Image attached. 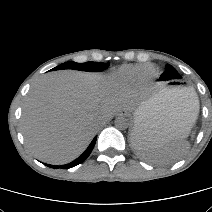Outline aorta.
Masks as SVG:
<instances>
[{"instance_id": "1", "label": "aorta", "mask_w": 212, "mask_h": 212, "mask_svg": "<svg viewBox=\"0 0 212 212\" xmlns=\"http://www.w3.org/2000/svg\"><path fill=\"white\" fill-rule=\"evenodd\" d=\"M115 127L119 130H124L128 127L129 123H128V120L123 117V116H118L116 119H115Z\"/></svg>"}]
</instances>
